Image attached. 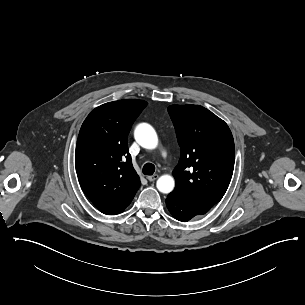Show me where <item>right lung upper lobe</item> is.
I'll use <instances>...</instances> for the list:
<instances>
[{"label": "right lung upper lobe", "mask_w": 305, "mask_h": 305, "mask_svg": "<svg viewBox=\"0 0 305 305\" xmlns=\"http://www.w3.org/2000/svg\"><path fill=\"white\" fill-rule=\"evenodd\" d=\"M143 100H119L95 108L79 132L75 166L80 186L104 214L122 212L141 183L133 168L127 136Z\"/></svg>", "instance_id": "cb5924a9"}]
</instances>
